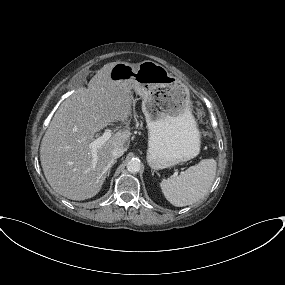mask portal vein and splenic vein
I'll return each mask as SVG.
<instances>
[{"label":"portal vein and splenic vein","instance_id":"obj_1","mask_svg":"<svg viewBox=\"0 0 285 285\" xmlns=\"http://www.w3.org/2000/svg\"><path fill=\"white\" fill-rule=\"evenodd\" d=\"M111 136H112V133L110 130H108V131H105L102 136L98 137L97 139L89 143L88 147L92 152L93 167H95L97 163V149L101 147L107 140H109Z\"/></svg>","mask_w":285,"mask_h":285}]
</instances>
